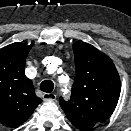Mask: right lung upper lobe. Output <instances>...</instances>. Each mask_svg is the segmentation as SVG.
I'll return each instance as SVG.
<instances>
[{
  "label": "right lung upper lobe",
  "mask_w": 131,
  "mask_h": 131,
  "mask_svg": "<svg viewBox=\"0 0 131 131\" xmlns=\"http://www.w3.org/2000/svg\"><path fill=\"white\" fill-rule=\"evenodd\" d=\"M30 49L23 43L0 49V123L11 128L24 123L42 102L24 73Z\"/></svg>",
  "instance_id": "cb5924a9"
}]
</instances>
